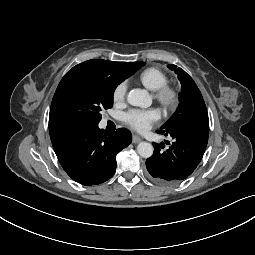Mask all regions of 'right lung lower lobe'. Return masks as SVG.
<instances>
[{
	"label": "right lung lower lobe",
	"mask_w": 255,
	"mask_h": 255,
	"mask_svg": "<svg viewBox=\"0 0 255 255\" xmlns=\"http://www.w3.org/2000/svg\"><path fill=\"white\" fill-rule=\"evenodd\" d=\"M51 142L65 172L76 182L91 186L110 179L116 171V155L132 141L119 128L110 134L98 124L49 123Z\"/></svg>",
	"instance_id": "1"
}]
</instances>
